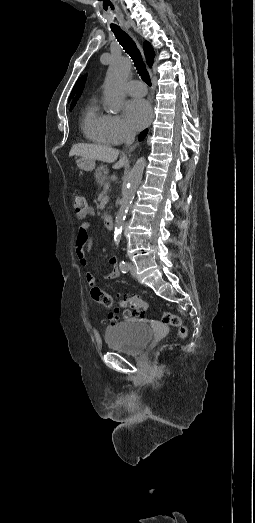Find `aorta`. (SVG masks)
I'll list each match as a JSON object with an SVG mask.
<instances>
[{
  "mask_svg": "<svg viewBox=\"0 0 255 523\" xmlns=\"http://www.w3.org/2000/svg\"><path fill=\"white\" fill-rule=\"evenodd\" d=\"M131 70V63L127 58L114 60L107 71L104 87L105 103L111 113H118L124 103L125 95L123 86ZM146 166V159L140 157L133 166L127 185L122 193L121 206L116 214L114 223V243L118 247L122 230L129 206L135 197V193L141 184L143 172Z\"/></svg>",
  "mask_w": 255,
  "mask_h": 523,
  "instance_id": "1",
  "label": "aorta"
}]
</instances>
